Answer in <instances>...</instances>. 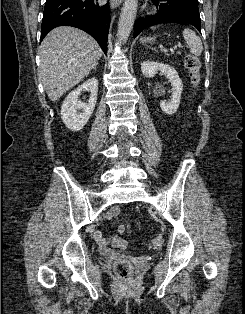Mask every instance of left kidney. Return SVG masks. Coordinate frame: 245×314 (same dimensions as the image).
Listing matches in <instances>:
<instances>
[{"label": "left kidney", "instance_id": "left-kidney-1", "mask_svg": "<svg viewBox=\"0 0 245 314\" xmlns=\"http://www.w3.org/2000/svg\"><path fill=\"white\" fill-rule=\"evenodd\" d=\"M141 71L147 78L153 77L157 71H160L169 80L172 86L171 101H160V107L164 113L168 115L174 114L179 107L183 91V84L176 70L163 63L144 61L141 63Z\"/></svg>", "mask_w": 245, "mask_h": 314}]
</instances>
